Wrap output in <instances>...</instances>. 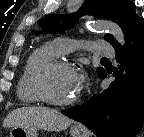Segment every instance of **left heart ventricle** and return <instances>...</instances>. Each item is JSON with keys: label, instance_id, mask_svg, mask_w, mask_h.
<instances>
[{"label": "left heart ventricle", "instance_id": "left-heart-ventricle-1", "mask_svg": "<svg viewBox=\"0 0 144 137\" xmlns=\"http://www.w3.org/2000/svg\"><path fill=\"white\" fill-rule=\"evenodd\" d=\"M74 70L59 68L46 79L48 93L55 99L68 100L76 96L73 83Z\"/></svg>", "mask_w": 144, "mask_h": 137}]
</instances>
